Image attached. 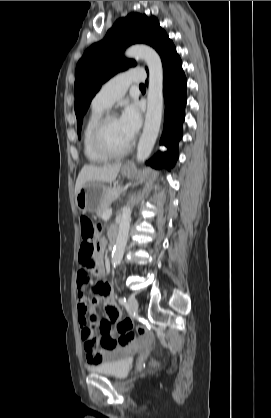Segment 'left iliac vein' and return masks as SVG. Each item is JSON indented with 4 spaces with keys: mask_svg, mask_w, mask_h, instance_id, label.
Returning <instances> with one entry per match:
<instances>
[{
    "mask_svg": "<svg viewBox=\"0 0 271 418\" xmlns=\"http://www.w3.org/2000/svg\"><path fill=\"white\" fill-rule=\"evenodd\" d=\"M127 307L131 313H136L138 311V301L133 295L128 297Z\"/></svg>",
    "mask_w": 271,
    "mask_h": 418,
    "instance_id": "1",
    "label": "left iliac vein"
}]
</instances>
